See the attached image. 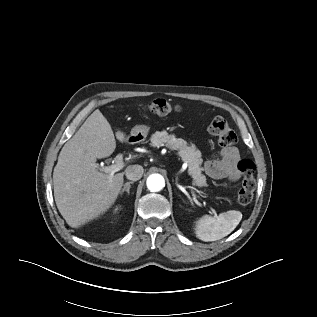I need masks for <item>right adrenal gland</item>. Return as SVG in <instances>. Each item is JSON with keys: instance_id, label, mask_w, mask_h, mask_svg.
I'll return each mask as SVG.
<instances>
[{"instance_id": "right-adrenal-gland-1", "label": "right adrenal gland", "mask_w": 317, "mask_h": 317, "mask_svg": "<svg viewBox=\"0 0 317 317\" xmlns=\"http://www.w3.org/2000/svg\"><path fill=\"white\" fill-rule=\"evenodd\" d=\"M131 184H133V182L131 181V182H126L125 184H124V187H123V189L120 191V195L122 196L123 195V193L126 191L128 194L130 193V185Z\"/></svg>"}]
</instances>
